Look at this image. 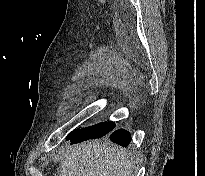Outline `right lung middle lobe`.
Segmentation results:
<instances>
[{
	"instance_id": "dd1d6c3e",
	"label": "right lung middle lobe",
	"mask_w": 205,
	"mask_h": 176,
	"mask_svg": "<svg viewBox=\"0 0 205 176\" xmlns=\"http://www.w3.org/2000/svg\"><path fill=\"white\" fill-rule=\"evenodd\" d=\"M115 127V123L113 122H104L99 123L94 126L85 128V129H77L73 133L67 136V140L71 138L78 139V141H84L93 138H101L104 135L108 134Z\"/></svg>"
}]
</instances>
